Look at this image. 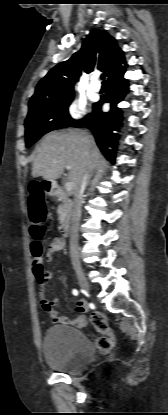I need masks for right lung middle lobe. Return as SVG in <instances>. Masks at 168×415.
<instances>
[{
    "mask_svg": "<svg viewBox=\"0 0 168 415\" xmlns=\"http://www.w3.org/2000/svg\"><path fill=\"white\" fill-rule=\"evenodd\" d=\"M73 98L72 94L29 110L25 120L26 147H30L44 134L52 130L71 127L76 122L68 112Z\"/></svg>",
    "mask_w": 168,
    "mask_h": 415,
    "instance_id": "dd1d6c3e",
    "label": "right lung middle lobe"
}]
</instances>
